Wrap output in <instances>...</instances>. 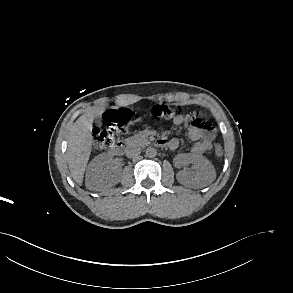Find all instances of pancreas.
<instances>
[{
  "label": "pancreas",
  "mask_w": 293,
  "mask_h": 293,
  "mask_svg": "<svg viewBox=\"0 0 293 293\" xmlns=\"http://www.w3.org/2000/svg\"><path fill=\"white\" fill-rule=\"evenodd\" d=\"M127 144L132 146H144L149 143L147 134L144 131H141L135 134L133 137L126 139Z\"/></svg>",
  "instance_id": "cf45deb5"
}]
</instances>
